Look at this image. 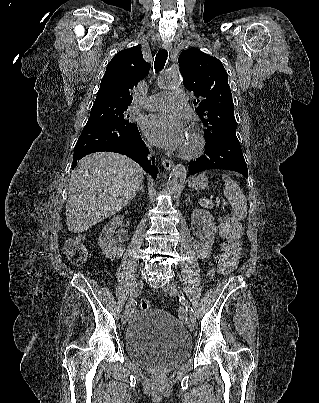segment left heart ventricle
I'll return each instance as SVG.
<instances>
[{
    "label": "left heart ventricle",
    "mask_w": 319,
    "mask_h": 403,
    "mask_svg": "<svg viewBox=\"0 0 319 403\" xmlns=\"http://www.w3.org/2000/svg\"><path fill=\"white\" fill-rule=\"evenodd\" d=\"M190 145H191V138H190V136H188V137H187V141H186V143H185L183 149L189 148Z\"/></svg>",
    "instance_id": "left-heart-ventricle-1"
}]
</instances>
